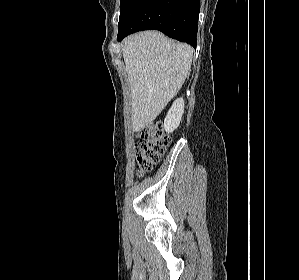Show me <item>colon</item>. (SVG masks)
Instances as JSON below:
<instances>
[{
	"label": "colon",
	"mask_w": 299,
	"mask_h": 280,
	"mask_svg": "<svg viewBox=\"0 0 299 280\" xmlns=\"http://www.w3.org/2000/svg\"><path fill=\"white\" fill-rule=\"evenodd\" d=\"M170 142L161 121H154L142 129L137 136L135 149L139 175L150 171L161 159Z\"/></svg>",
	"instance_id": "obj_1"
}]
</instances>
